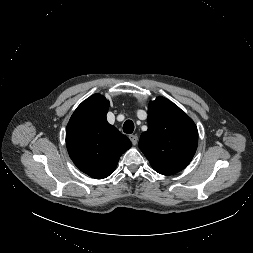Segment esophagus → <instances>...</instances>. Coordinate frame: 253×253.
<instances>
[{
  "label": "esophagus",
  "mask_w": 253,
  "mask_h": 253,
  "mask_svg": "<svg viewBox=\"0 0 253 253\" xmlns=\"http://www.w3.org/2000/svg\"><path fill=\"white\" fill-rule=\"evenodd\" d=\"M129 138H130L133 145H136L138 143V136L137 135L132 134L129 136Z\"/></svg>",
  "instance_id": "34e87169"
}]
</instances>
